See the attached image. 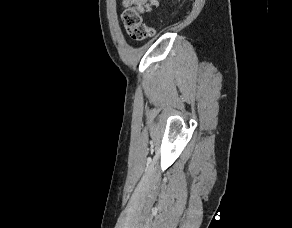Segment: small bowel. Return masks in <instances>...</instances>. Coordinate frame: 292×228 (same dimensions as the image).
<instances>
[{
    "label": "small bowel",
    "instance_id": "small-bowel-1",
    "mask_svg": "<svg viewBox=\"0 0 292 228\" xmlns=\"http://www.w3.org/2000/svg\"><path fill=\"white\" fill-rule=\"evenodd\" d=\"M145 0H123L124 6L132 5L133 3H143Z\"/></svg>",
    "mask_w": 292,
    "mask_h": 228
}]
</instances>
